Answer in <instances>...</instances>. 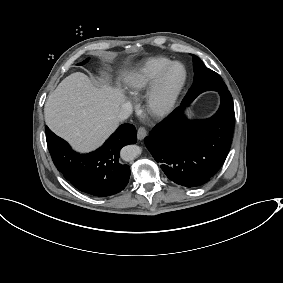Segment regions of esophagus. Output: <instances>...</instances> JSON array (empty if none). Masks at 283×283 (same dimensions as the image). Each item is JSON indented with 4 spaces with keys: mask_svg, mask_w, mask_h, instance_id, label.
<instances>
[{
    "mask_svg": "<svg viewBox=\"0 0 283 283\" xmlns=\"http://www.w3.org/2000/svg\"><path fill=\"white\" fill-rule=\"evenodd\" d=\"M146 130L144 129V128H139L138 129V132H137V137H138V139L139 140H142V139H144L145 138V136H146Z\"/></svg>",
    "mask_w": 283,
    "mask_h": 283,
    "instance_id": "obj_1",
    "label": "esophagus"
}]
</instances>
